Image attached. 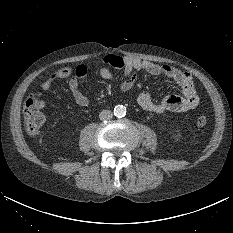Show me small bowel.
Listing matches in <instances>:
<instances>
[{
	"label": "small bowel",
	"instance_id": "obj_1",
	"mask_svg": "<svg viewBox=\"0 0 233 233\" xmlns=\"http://www.w3.org/2000/svg\"><path fill=\"white\" fill-rule=\"evenodd\" d=\"M111 68L120 70L124 80L118 87L120 93L131 90L136 82V72L145 71L150 75H163L172 79L180 88L182 95H167L161 99H154L149 93L142 92L137 96L138 105L153 113L187 112L195 109L199 104V95L194 85L192 76L176 67L157 64L132 56L115 54L105 55L98 68L99 76L104 80H112L114 74ZM89 67L80 64L74 69L65 67L55 71L48 79L42 82L41 89L48 91L52 85L61 79L69 78L68 86L74 101L80 106H87L89 98L80 88V80L87 75Z\"/></svg>",
	"mask_w": 233,
	"mask_h": 233
}]
</instances>
